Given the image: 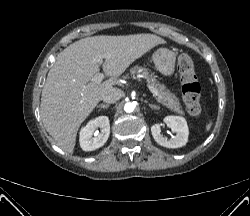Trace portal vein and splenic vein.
<instances>
[{"label":"portal vein and splenic vein","instance_id":"1","mask_svg":"<svg viewBox=\"0 0 250 216\" xmlns=\"http://www.w3.org/2000/svg\"><path fill=\"white\" fill-rule=\"evenodd\" d=\"M96 59H97V62H98V63H102L104 57L101 56V55H99V56H97ZM103 78H104V74L98 73V74H96V75L93 77V81L95 82V84H100L101 81L103 80ZM147 87H148V89L150 90V92L153 94V96H156V97L159 96L158 91H157L154 87H152V86L149 85V84H147Z\"/></svg>","mask_w":250,"mask_h":216}]
</instances>
